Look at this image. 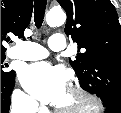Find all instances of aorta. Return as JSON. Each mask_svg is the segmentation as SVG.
<instances>
[{
  "label": "aorta",
  "mask_w": 121,
  "mask_h": 113,
  "mask_svg": "<svg viewBox=\"0 0 121 113\" xmlns=\"http://www.w3.org/2000/svg\"><path fill=\"white\" fill-rule=\"evenodd\" d=\"M66 15L61 9H51L46 14V22L51 27L60 26L65 22Z\"/></svg>",
  "instance_id": "aorta-1"
}]
</instances>
